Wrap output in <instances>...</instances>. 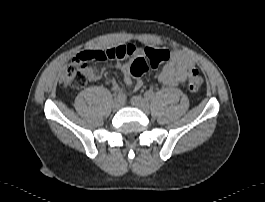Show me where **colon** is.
<instances>
[{"mask_svg":"<svg viewBox=\"0 0 265 202\" xmlns=\"http://www.w3.org/2000/svg\"><path fill=\"white\" fill-rule=\"evenodd\" d=\"M124 55L122 52H116L113 48L101 52L98 50H83L77 54L79 65H69L66 67L61 77V84L70 88H81L86 84V76L83 73L81 66L83 64L96 61L103 62L107 60L120 59ZM170 57L167 50L151 51L148 50L144 56L137 57L131 64V73L134 77H140L166 62ZM203 85V77L196 68L189 70L186 87L191 93H197Z\"/></svg>","mask_w":265,"mask_h":202,"instance_id":"5ec220e1","label":"colon"}]
</instances>
